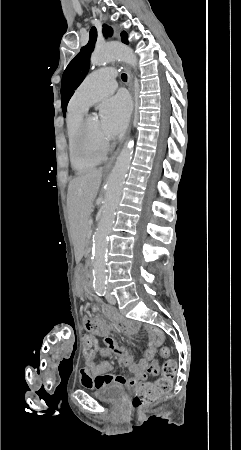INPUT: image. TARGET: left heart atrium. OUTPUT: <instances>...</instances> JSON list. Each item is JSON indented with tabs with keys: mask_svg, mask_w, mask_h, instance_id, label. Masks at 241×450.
Listing matches in <instances>:
<instances>
[{
	"mask_svg": "<svg viewBox=\"0 0 241 450\" xmlns=\"http://www.w3.org/2000/svg\"><path fill=\"white\" fill-rule=\"evenodd\" d=\"M110 114L108 129L113 137L120 136L130 120L132 104L130 98L120 93L105 104Z\"/></svg>",
	"mask_w": 241,
	"mask_h": 450,
	"instance_id": "39dd6f15",
	"label": "left heart atrium"
}]
</instances>
